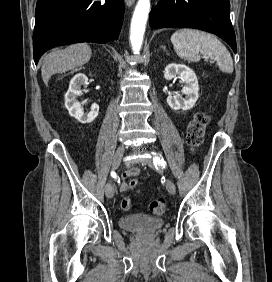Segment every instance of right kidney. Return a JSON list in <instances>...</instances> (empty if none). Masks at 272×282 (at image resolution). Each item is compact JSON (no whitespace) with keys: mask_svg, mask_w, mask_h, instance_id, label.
<instances>
[{"mask_svg":"<svg viewBox=\"0 0 272 282\" xmlns=\"http://www.w3.org/2000/svg\"><path fill=\"white\" fill-rule=\"evenodd\" d=\"M88 84L86 75L79 73L76 74L70 81L69 89L65 94V107L67 108L70 116L74 117L82 124L93 122L99 114V106L93 103L90 112L85 114L81 108V104L77 100V96L82 93L81 87Z\"/></svg>","mask_w":272,"mask_h":282,"instance_id":"ca27d5eb","label":"right kidney"}]
</instances>
